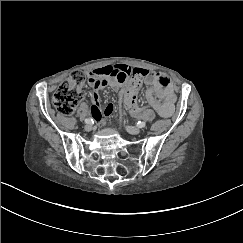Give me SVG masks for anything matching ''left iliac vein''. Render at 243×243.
I'll return each mask as SVG.
<instances>
[{"mask_svg":"<svg viewBox=\"0 0 243 243\" xmlns=\"http://www.w3.org/2000/svg\"><path fill=\"white\" fill-rule=\"evenodd\" d=\"M126 130L130 133V134H139L141 132V129L137 128V127H133V126H127Z\"/></svg>","mask_w":243,"mask_h":243,"instance_id":"left-iliac-vein-1","label":"left iliac vein"}]
</instances>
